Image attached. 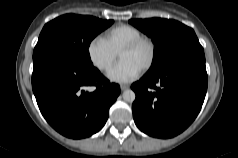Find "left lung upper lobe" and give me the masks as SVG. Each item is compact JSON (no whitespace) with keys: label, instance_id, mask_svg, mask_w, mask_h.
I'll list each match as a JSON object with an SVG mask.
<instances>
[{"label":"left lung upper lobe","instance_id":"5c2ea615","mask_svg":"<svg viewBox=\"0 0 238 158\" xmlns=\"http://www.w3.org/2000/svg\"><path fill=\"white\" fill-rule=\"evenodd\" d=\"M129 23L152 38L154 55L147 74H154L174 60L204 52L193 29L168 19H131Z\"/></svg>","mask_w":238,"mask_h":158}]
</instances>
